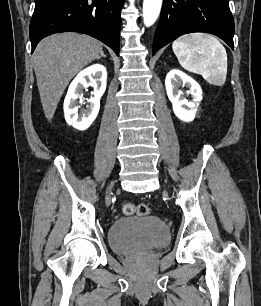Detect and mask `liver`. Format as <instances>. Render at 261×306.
Returning a JSON list of instances; mask_svg holds the SVG:
<instances>
[{
    "label": "liver",
    "mask_w": 261,
    "mask_h": 306,
    "mask_svg": "<svg viewBox=\"0 0 261 306\" xmlns=\"http://www.w3.org/2000/svg\"><path fill=\"white\" fill-rule=\"evenodd\" d=\"M102 53L98 40L74 32L51 35L37 45L33 55L34 70L48 121L53 118L70 80Z\"/></svg>",
    "instance_id": "6515ba94"
}]
</instances>
